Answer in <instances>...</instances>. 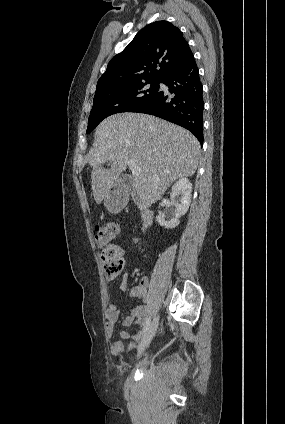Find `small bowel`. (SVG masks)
<instances>
[{
    "instance_id": "obj_1",
    "label": "small bowel",
    "mask_w": 285,
    "mask_h": 424,
    "mask_svg": "<svg viewBox=\"0 0 285 424\" xmlns=\"http://www.w3.org/2000/svg\"><path fill=\"white\" fill-rule=\"evenodd\" d=\"M124 262L127 261L126 257H123ZM128 278H129V270H127L122 277V280L119 284V288L121 291H127L128 289ZM112 280L108 281L111 284ZM148 288V279L147 277H142L138 285L133 287L130 290L129 296L135 299H144L146 297ZM146 311L147 306L141 305L133 307L126 318L123 320V327H130L133 324H136L139 327V331L136 334H131L130 332L124 330L120 333V339L117 341H113L111 343V352L114 356H118L125 351L132 349L135 345V342L139 339L141 334V329L146 323ZM121 311L119 307L115 304H111L109 308L106 310L105 318V334L108 340H112L114 336V327L115 323L118 321L120 317ZM143 332V331H142ZM131 338L132 340L128 343H125V340Z\"/></svg>"
}]
</instances>
